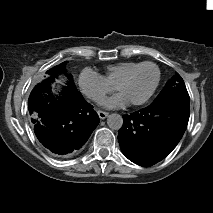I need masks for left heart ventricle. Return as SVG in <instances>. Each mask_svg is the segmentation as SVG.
Returning a JSON list of instances; mask_svg holds the SVG:
<instances>
[{
  "label": "left heart ventricle",
  "mask_w": 213,
  "mask_h": 213,
  "mask_svg": "<svg viewBox=\"0 0 213 213\" xmlns=\"http://www.w3.org/2000/svg\"><path fill=\"white\" fill-rule=\"evenodd\" d=\"M156 72L150 66H145L132 74L118 89L129 102L145 97L153 87Z\"/></svg>",
  "instance_id": "left-heart-ventricle-1"
}]
</instances>
